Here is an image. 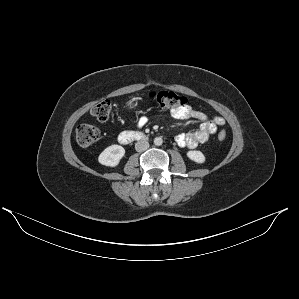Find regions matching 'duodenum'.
<instances>
[{
    "label": "duodenum",
    "mask_w": 299,
    "mask_h": 299,
    "mask_svg": "<svg viewBox=\"0 0 299 299\" xmlns=\"http://www.w3.org/2000/svg\"><path fill=\"white\" fill-rule=\"evenodd\" d=\"M118 140L120 143L125 144L130 141H146L147 136L141 132L126 131L120 134Z\"/></svg>",
    "instance_id": "1"
}]
</instances>
